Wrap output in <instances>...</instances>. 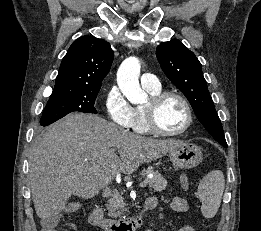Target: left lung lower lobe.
I'll return each instance as SVG.
<instances>
[{
  "mask_svg": "<svg viewBox=\"0 0 261 231\" xmlns=\"http://www.w3.org/2000/svg\"><path fill=\"white\" fill-rule=\"evenodd\" d=\"M224 147H227V143L226 144H222Z\"/></svg>",
  "mask_w": 261,
  "mask_h": 231,
  "instance_id": "0a47b994",
  "label": "left lung lower lobe"
}]
</instances>
